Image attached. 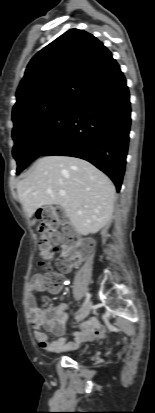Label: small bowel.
Masks as SVG:
<instances>
[{"label": "small bowel", "mask_w": 155, "mask_h": 413, "mask_svg": "<svg viewBox=\"0 0 155 413\" xmlns=\"http://www.w3.org/2000/svg\"><path fill=\"white\" fill-rule=\"evenodd\" d=\"M73 264L68 268L69 271ZM45 285L40 274L34 275L27 287V303L29 307L30 321L34 329V335L40 346L50 352L72 351L77 349L85 341L93 340L105 335V327L100 321L92 317L83 322V324L73 333L72 341L63 337L67 324L66 304L60 303L52 310H46L40 307L34 297L36 291H44ZM43 324H46L50 331L59 336L56 340H51L47 333L42 330Z\"/></svg>", "instance_id": "1"}]
</instances>
